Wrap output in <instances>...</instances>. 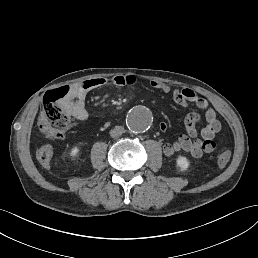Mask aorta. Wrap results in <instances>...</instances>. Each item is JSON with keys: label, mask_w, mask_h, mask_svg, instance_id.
I'll return each instance as SVG.
<instances>
[{"label": "aorta", "mask_w": 258, "mask_h": 258, "mask_svg": "<svg viewBox=\"0 0 258 258\" xmlns=\"http://www.w3.org/2000/svg\"><path fill=\"white\" fill-rule=\"evenodd\" d=\"M153 117L151 111L143 106L132 109L126 118V124L130 132H145L152 124Z\"/></svg>", "instance_id": "1"}]
</instances>
